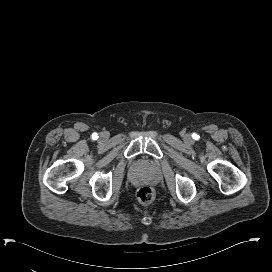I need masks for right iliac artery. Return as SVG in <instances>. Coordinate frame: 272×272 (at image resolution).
I'll return each mask as SVG.
<instances>
[{"mask_svg": "<svg viewBox=\"0 0 272 272\" xmlns=\"http://www.w3.org/2000/svg\"><path fill=\"white\" fill-rule=\"evenodd\" d=\"M92 139H94V140L98 139L97 133H93V134H92Z\"/></svg>", "mask_w": 272, "mask_h": 272, "instance_id": "82829eb1", "label": "right iliac artery"}]
</instances>
